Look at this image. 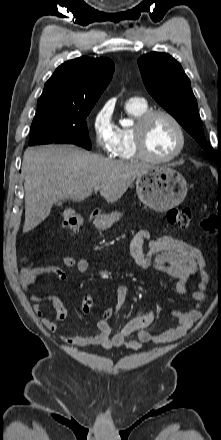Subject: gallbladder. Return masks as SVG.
I'll return each mask as SVG.
<instances>
[{
    "mask_svg": "<svg viewBox=\"0 0 221 440\" xmlns=\"http://www.w3.org/2000/svg\"><path fill=\"white\" fill-rule=\"evenodd\" d=\"M55 205H57V206H61V205H62V201H61V200L56 201V202H55Z\"/></svg>",
    "mask_w": 221,
    "mask_h": 440,
    "instance_id": "gallbladder-1",
    "label": "gallbladder"
}]
</instances>
